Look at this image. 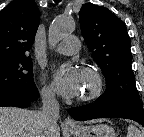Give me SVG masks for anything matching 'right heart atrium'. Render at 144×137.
Returning <instances> with one entry per match:
<instances>
[{"label":"right heart atrium","instance_id":"right-heart-atrium-1","mask_svg":"<svg viewBox=\"0 0 144 137\" xmlns=\"http://www.w3.org/2000/svg\"><path fill=\"white\" fill-rule=\"evenodd\" d=\"M41 94L43 99L48 103H53L55 101V92L50 84L44 83Z\"/></svg>","mask_w":144,"mask_h":137}]
</instances>
